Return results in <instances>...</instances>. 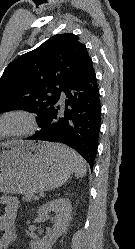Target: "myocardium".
I'll return each mask as SVG.
<instances>
[{"mask_svg": "<svg viewBox=\"0 0 135 249\" xmlns=\"http://www.w3.org/2000/svg\"><path fill=\"white\" fill-rule=\"evenodd\" d=\"M5 121H12L16 126L0 132V140L28 137L37 130L35 115L25 109H10L0 113V123Z\"/></svg>", "mask_w": 135, "mask_h": 249, "instance_id": "1", "label": "myocardium"}]
</instances>
